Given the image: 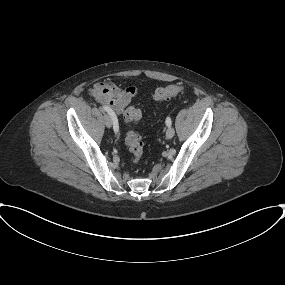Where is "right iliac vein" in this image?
Masks as SVG:
<instances>
[{"label": "right iliac vein", "instance_id": "obj_1", "mask_svg": "<svg viewBox=\"0 0 285 285\" xmlns=\"http://www.w3.org/2000/svg\"><path fill=\"white\" fill-rule=\"evenodd\" d=\"M104 122H105V125H106L107 128H111L112 127L113 121H112V118H111L110 115H108V114L104 115Z\"/></svg>", "mask_w": 285, "mask_h": 285}]
</instances>
